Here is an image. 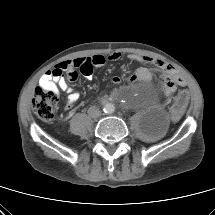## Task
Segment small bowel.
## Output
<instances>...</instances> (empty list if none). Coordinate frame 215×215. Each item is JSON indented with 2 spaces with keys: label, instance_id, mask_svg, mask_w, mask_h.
<instances>
[{
  "label": "small bowel",
  "instance_id": "small-bowel-1",
  "mask_svg": "<svg viewBox=\"0 0 215 215\" xmlns=\"http://www.w3.org/2000/svg\"><path fill=\"white\" fill-rule=\"evenodd\" d=\"M120 57L121 54L119 52H113L107 57L94 55L88 58H75L61 62L55 66V68L48 70L42 75L39 82L40 86L46 90L54 91L56 94H58L59 90L66 92L68 95L66 108L71 109L73 104L79 99L80 95L68 84V81L74 82L77 79V70H79L85 78L92 79L94 68L105 65L107 61H117ZM129 59L138 63H154L163 71L165 77L174 74L172 67L159 59L137 54H130ZM64 73H66V77L64 76ZM152 78L153 73L151 70L145 67H140L132 75L130 82H147ZM112 81L118 83L119 78L113 77ZM177 85H184V81L179 79ZM165 95L169 94L165 93Z\"/></svg>",
  "mask_w": 215,
  "mask_h": 215
}]
</instances>
